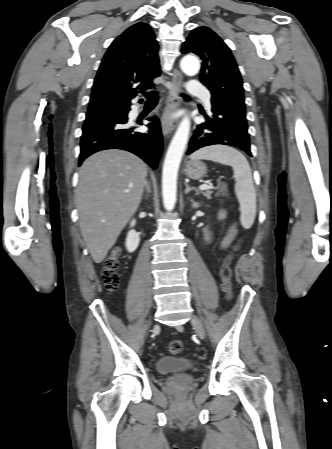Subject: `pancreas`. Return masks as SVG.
Masks as SVG:
<instances>
[{
	"label": "pancreas",
	"instance_id": "cf45deb5",
	"mask_svg": "<svg viewBox=\"0 0 332 449\" xmlns=\"http://www.w3.org/2000/svg\"><path fill=\"white\" fill-rule=\"evenodd\" d=\"M213 193V191H211V190H206V191H204L202 194L207 198V199H211V194ZM217 196L219 195V193L218 194H216ZM223 195H225V193H223Z\"/></svg>",
	"mask_w": 332,
	"mask_h": 449
}]
</instances>
